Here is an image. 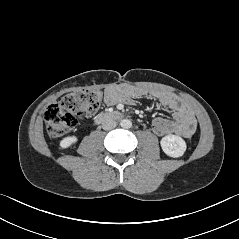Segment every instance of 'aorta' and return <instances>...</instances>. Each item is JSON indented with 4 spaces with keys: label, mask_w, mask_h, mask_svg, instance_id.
Wrapping results in <instances>:
<instances>
[{
    "label": "aorta",
    "mask_w": 239,
    "mask_h": 239,
    "mask_svg": "<svg viewBox=\"0 0 239 239\" xmlns=\"http://www.w3.org/2000/svg\"><path fill=\"white\" fill-rule=\"evenodd\" d=\"M122 128L128 129L132 127V122L129 119H124L120 122Z\"/></svg>",
    "instance_id": "1"
}]
</instances>
